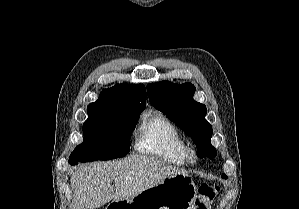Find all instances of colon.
Here are the masks:
<instances>
[{
	"instance_id": "1",
	"label": "colon",
	"mask_w": 299,
	"mask_h": 209,
	"mask_svg": "<svg viewBox=\"0 0 299 209\" xmlns=\"http://www.w3.org/2000/svg\"><path fill=\"white\" fill-rule=\"evenodd\" d=\"M220 186L202 183L198 188L197 198L192 209H212V204L220 192Z\"/></svg>"
}]
</instances>
